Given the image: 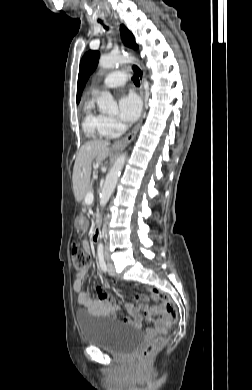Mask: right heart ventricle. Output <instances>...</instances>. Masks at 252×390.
Returning <instances> with one entry per match:
<instances>
[{
    "instance_id": "1",
    "label": "right heart ventricle",
    "mask_w": 252,
    "mask_h": 390,
    "mask_svg": "<svg viewBox=\"0 0 252 390\" xmlns=\"http://www.w3.org/2000/svg\"><path fill=\"white\" fill-rule=\"evenodd\" d=\"M103 121L104 116L95 111L93 102H86L82 126L87 136L93 139L108 137V134L103 129Z\"/></svg>"
}]
</instances>
